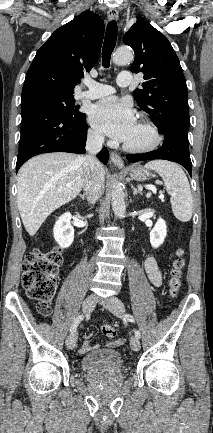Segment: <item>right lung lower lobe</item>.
<instances>
[{"mask_svg":"<svg viewBox=\"0 0 213 433\" xmlns=\"http://www.w3.org/2000/svg\"><path fill=\"white\" fill-rule=\"evenodd\" d=\"M22 123L16 172L28 159L47 152L85 153L86 115L73 120L56 109L35 103L21 105ZM109 152L102 149L99 160L107 164Z\"/></svg>","mask_w":213,"mask_h":433,"instance_id":"obj_1","label":"right lung lower lobe"}]
</instances>
